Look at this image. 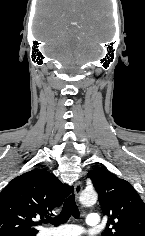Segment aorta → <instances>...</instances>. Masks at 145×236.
Returning a JSON list of instances; mask_svg holds the SVG:
<instances>
[{"mask_svg": "<svg viewBox=\"0 0 145 236\" xmlns=\"http://www.w3.org/2000/svg\"><path fill=\"white\" fill-rule=\"evenodd\" d=\"M97 198V193L94 190H84L79 197V201L84 206H91L96 203Z\"/></svg>", "mask_w": 145, "mask_h": 236, "instance_id": "aorta-1", "label": "aorta"}]
</instances>
